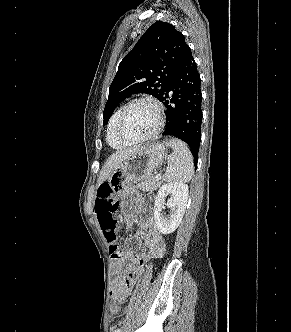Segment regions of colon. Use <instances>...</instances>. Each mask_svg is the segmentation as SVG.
<instances>
[{
	"instance_id": "5ec220e1",
	"label": "colon",
	"mask_w": 291,
	"mask_h": 332,
	"mask_svg": "<svg viewBox=\"0 0 291 332\" xmlns=\"http://www.w3.org/2000/svg\"><path fill=\"white\" fill-rule=\"evenodd\" d=\"M96 211L100 227L109 246L110 254L112 255V258H118V233L117 221L115 219L117 204L111 188H104L99 192L96 200ZM110 312L112 315L116 316L120 312V307L113 304L111 305Z\"/></svg>"
}]
</instances>
